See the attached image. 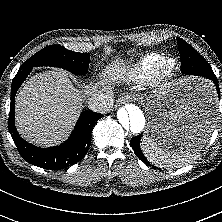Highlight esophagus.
<instances>
[{"instance_id": "esophagus-1", "label": "esophagus", "mask_w": 222, "mask_h": 222, "mask_svg": "<svg viewBox=\"0 0 222 222\" xmlns=\"http://www.w3.org/2000/svg\"><path fill=\"white\" fill-rule=\"evenodd\" d=\"M124 103H125V98H120V99L117 100L116 105L120 106V105H122Z\"/></svg>"}]
</instances>
